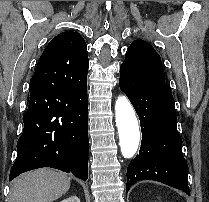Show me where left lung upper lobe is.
Instances as JSON below:
<instances>
[{"mask_svg":"<svg viewBox=\"0 0 209 202\" xmlns=\"http://www.w3.org/2000/svg\"><path fill=\"white\" fill-rule=\"evenodd\" d=\"M121 66L134 69L147 77L165 82L161 58L152 45L144 40H135L129 46L125 61Z\"/></svg>","mask_w":209,"mask_h":202,"instance_id":"obj_1","label":"left lung upper lobe"}]
</instances>
